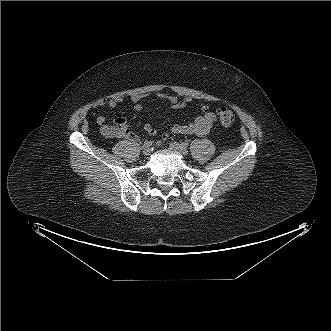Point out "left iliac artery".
<instances>
[{
    "label": "left iliac artery",
    "instance_id": "left-iliac-artery-1",
    "mask_svg": "<svg viewBox=\"0 0 331 331\" xmlns=\"http://www.w3.org/2000/svg\"><path fill=\"white\" fill-rule=\"evenodd\" d=\"M181 146H182L183 148H187V147L189 146V144H188V142H182V143H181Z\"/></svg>",
    "mask_w": 331,
    "mask_h": 331
}]
</instances>
